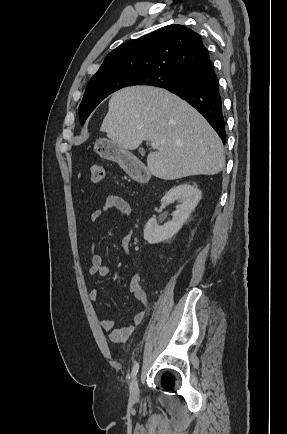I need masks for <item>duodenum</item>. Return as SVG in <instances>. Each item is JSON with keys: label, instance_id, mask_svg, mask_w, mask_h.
<instances>
[{"label": "duodenum", "instance_id": "410a0bca", "mask_svg": "<svg viewBox=\"0 0 287 434\" xmlns=\"http://www.w3.org/2000/svg\"><path fill=\"white\" fill-rule=\"evenodd\" d=\"M123 164L135 180L144 182L148 179L147 171L134 158L126 156L123 159Z\"/></svg>", "mask_w": 287, "mask_h": 434}]
</instances>
